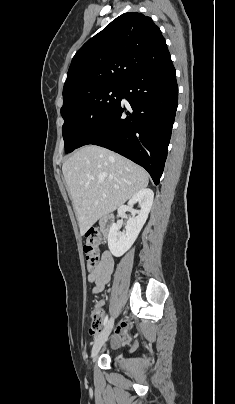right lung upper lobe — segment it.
<instances>
[{
	"label": "right lung upper lobe",
	"instance_id": "1",
	"mask_svg": "<svg viewBox=\"0 0 235 404\" xmlns=\"http://www.w3.org/2000/svg\"><path fill=\"white\" fill-rule=\"evenodd\" d=\"M158 26L148 16L128 12L114 19L75 54L63 88L64 104L111 85L169 57Z\"/></svg>",
	"mask_w": 235,
	"mask_h": 404
}]
</instances>
